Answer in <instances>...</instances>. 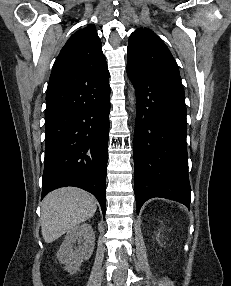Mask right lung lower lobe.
<instances>
[{
	"mask_svg": "<svg viewBox=\"0 0 231 286\" xmlns=\"http://www.w3.org/2000/svg\"><path fill=\"white\" fill-rule=\"evenodd\" d=\"M109 111V72L47 105L42 198L54 189L76 186L92 193L105 215Z\"/></svg>",
	"mask_w": 231,
	"mask_h": 286,
	"instance_id": "obj_1",
	"label": "right lung lower lobe"
}]
</instances>
